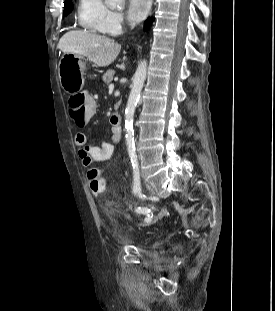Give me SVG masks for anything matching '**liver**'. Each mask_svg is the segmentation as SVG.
I'll list each match as a JSON object with an SVG mask.
<instances>
[{"instance_id":"obj_1","label":"liver","mask_w":275,"mask_h":311,"mask_svg":"<svg viewBox=\"0 0 275 311\" xmlns=\"http://www.w3.org/2000/svg\"><path fill=\"white\" fill-rule=\"evenodd\" d=\"M58 46L63 53L87 57L99 67L110 65L121 50L114 40L89 31H69L61 37Z\"/></svg>"}]
</instances>
